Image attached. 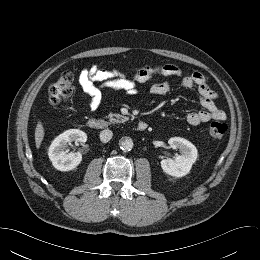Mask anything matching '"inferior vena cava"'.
<instances>
[{
	"label": "inferior vena cava",
	"mask_w": 260,
	"mask_h": 260,
	"mask_svg": "<svg viewBox=\"0 0 260 260\" xmlns=\"http://www.w3.org/2000/svg\"><path fill=\"white\" fill-rule=\"evenodd\" d=\"M113 133L109 129H105L100 132V140L104 143H107L112 138Z\"/></svg>",
	"instance_id": "1"
}]
</instances>
